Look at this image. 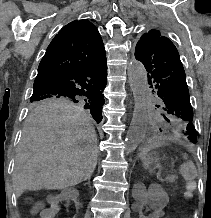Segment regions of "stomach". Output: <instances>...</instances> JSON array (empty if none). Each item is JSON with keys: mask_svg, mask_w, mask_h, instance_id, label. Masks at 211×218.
<instances>
[{"mask_svg": "<svg viewBox=\"0 0 211 218\" xmlns=\"http://www.w3.org/2000/svg\"><path fill=\"white\" fill-rule=\"evenodd\" d=\"M159 159L155 157H146V160L144 161L145 165H153L155 164L158 166Z\"/></svg>", "mask_w": 211, "mask_h": 218, "instance_id": "obj_1", "label": "stomach"}]
</instances>
